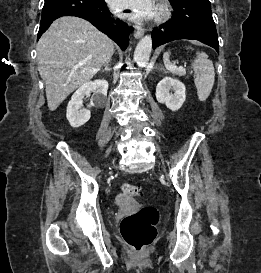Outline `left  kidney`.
<instances>
[{"label":"left kidney","instance_id":"obj_1","mask_svg":"<svg viewBox=\"0 0 261 273\" xmlns=\"http://www.w3.org/2000/svg\"><path fill=\"white\" fill-rule=\"evenodd\" d=\"M173 89L174 93H170ZM156 99L172 111L179 110L186 100L185 86L178 79L164 77L156 87Z\"/></svg>","mask_w":261,"mask_h":273}]
</instances>
